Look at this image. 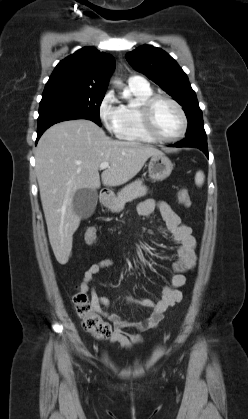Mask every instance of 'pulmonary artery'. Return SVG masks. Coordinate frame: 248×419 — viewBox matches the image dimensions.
I'll use <instances>...</instances> for the list:
<instances>
[{"label": "pulmonary artery", "instance_id": "e3ab8cb5", "mask_svg": "<svg viewBox=\"0 0 248 419\" xmlns=\"http://www.w3.org/2000/svg\"><path fill=\"white\" fill-rule=\"evenodd\" d=\"M127 82H128V86H131V87L144 88L148 86L147 81L143 77L138 76V75L129 77Z\"/></svg>", "mask_w": 248, "mask_h": 419}]
</instances>
